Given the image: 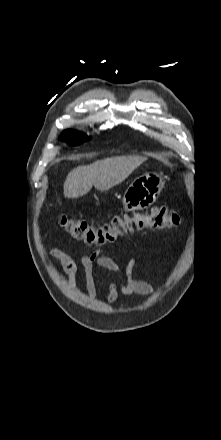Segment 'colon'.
I'll use <instances>...</instances> for the list:
<instances>
[{
    "label": "colon",
    "mask_w": 221,
    "mask_h": 440,
    "mask_svg": "<svg viewBox=\"0 0 221 440\" xmlns=\"http://www.w3.org/2000/svg\"><path fill=\"white\" fill-rule=\"evenodd\" d=\"M179 215L164 206H154L145 212L118 214L102 226L94 227L86 221L68 215L59 219L61 227L74 239L88 246L99 247L116 241L133 230H167L179 224Z\"/></svg>",
    "instance_id": "colon-1"
}]
</instances>
